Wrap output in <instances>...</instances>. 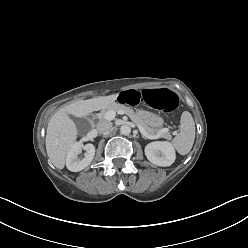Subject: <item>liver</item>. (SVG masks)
<instances>
[{
  "label": "liver",
  "mask_w": 248,
  "mask_h": 248,
  "mask_svg": "<svg viewBox=\"0 0 248 248\" xmlns=\"http://www.w3.org/2000/svg\"><path fill=\"white\" fill-rule=\"evenodd\" d=\"M117 99V94L78 100L58 110L49 120L46 133V151L53 165L58 169L65 166V157L75 144L78 130L69 115L81 118L93 111L105 109Z\"/></svg>",
  "instance_id": "obj_1"
}]
</instances>
